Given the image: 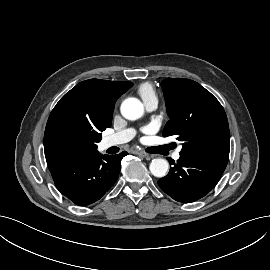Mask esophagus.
<instances>
[{
    "instance_id": "1",
    "label": "esophagus",
    "mask_w": 270,
    "mask_h": 270,
    "mask_svg": "<svg viewBox=\"0 0 270 270\" xmlns=\"http://www.w3.org/2000/svg\"><path fill=\"white\" fill-rule=\"evenodd\" d=\"M135 154L139 155V156H142V157H145V158H149L150 155L144 151H136Z\"/></svg>"
}]
</instances>
